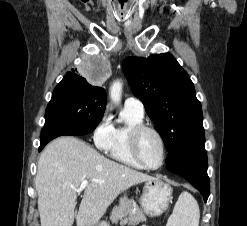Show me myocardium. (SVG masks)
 <instances>
[{
	"label": "myocardium",
	"mask_w": 247,
	"mask_h": 226,
	"mask_svg": "<svg viewBox=\"0 0 247 226\" xmlns=\"http://www.w3.org/2000/svg\"><path fill=\"white\" fill-rule=\"evenodd\" d=\"M146 131L154 133L161 143V148H162L161 161L158 165H155V166H151V165L146 164L143 161V159L141 158L140 153H139V149H138L139 137L141 136L142 133H144ZM129 148H130V152H131V155L134 158V160L142 168H145L148 170H157V169L161 168L164 165L166 158H167V146H166V142H165L163 135L161 134V132L158 129H156L155 127L150 126V125L140 124V125H137L131 129V131L129 133Z\"/></svg>",
	"instance_id": "obj_1"
}]
</instances>
